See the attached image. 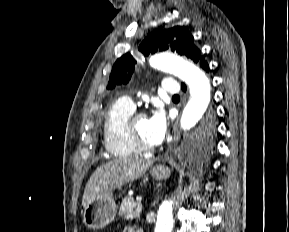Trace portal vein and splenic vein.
I'll use <instances>...</instances> for the list:
<instances>
[{
  "label": "portal vein and splenic vein",
  "instance_id": "obj_1",
  "mask_svg": "<svg viewBox=\"0 0 289 232\" xmlns=\"http://www.w3.org/2000/svg\"><path fill=\"white\" fill-rule=\"evenodd\" d=\"M136 200H137L138 202H141V201H142V197H137Z\"/></svg>",
  "mask_w": 289,
  "mask_h": 232
}]
</instances>
